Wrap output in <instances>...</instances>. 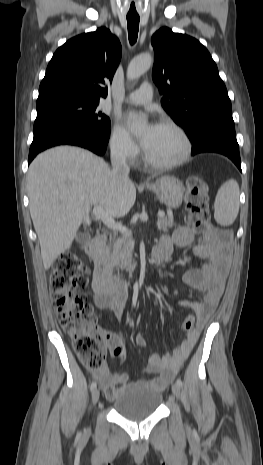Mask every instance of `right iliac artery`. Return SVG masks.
Returning <instances> with one entry per match:
<instances>
[{"mask_svg":"<svg viewBox=\"0 0 263 465\" xmlns=\"http://www.w3.org/2000/svg\"><path fill=\"white\" fill-rule=\"evenodd\" d=\"M96 382H92L91 386H90V390L93 391L96 389Z\"/></svg>","mask_w":263,"mask_h":465,"instance_id":"obj_1","label":"right iliac artery"}]
</instances>
